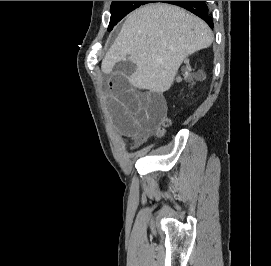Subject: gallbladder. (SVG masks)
I'll return each instance as SVG.
<instances>
[{
	"label": "gallbladder",
	"instance_id": "obj_1",
	"mask_svg": "<svg viewBox=\"0 0 271 266\" xmlns=\"http://www.w3.org/2000/svg\"><path fill=\"white\" fill-rule=\"evenodd\" d=\"M114 69L118 75H130L136 70V65L126 59L116 63Z\"/></svg>",
	"mask_w": 271,
	"mask_h": 266
}]
</instances>
